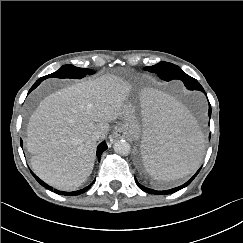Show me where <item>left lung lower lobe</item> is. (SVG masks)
<instances>
[{
	"mask_svg": "<svg viewBox=\"0 0 243 243\" xmlns=\"http://www.w3.org/2000/svg\"><path fill=\"white\" fill-rule=\"evenodd\" d=\"M186 88L189 89V90H200L202 91L204 94L205 91L203 89V87L199 84V83H195V84H189V83H186L185 84ZM208 115L209 117L211 116V105L209 103V111H208ZM200 169L196 172V174L189 180L187 181L185 184L179 186V187H176V188H173V189H170V190H166V191H156V190H152V189H149V188H146L144 186H142L140 183H138V181L136 180L135 178V181L137 183V185L145 192L147 193H150V194H161V195H166V194H171V193H174V192H177L178 190H181L182 188L186 187L187 185H189L192 180L197 176V174L199 173Z\"/></svg>",
	"mask_w": 243,
	"mask_h": 243,
	"instance_id": "obj_1",
	"label": "left lung lower lobe"
}]
</instances>
